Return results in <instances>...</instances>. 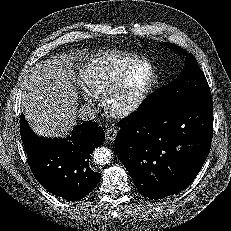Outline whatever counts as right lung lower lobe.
Listing matches in <instances>:
<instances>
[{
  "instance_id": "obj_1",
  "label": "right lung lower lobe",
  "mask_w": 231,
  "mask_h": 231,
  "mask_svg": "<svg viewBox=\"0 0 231 231\" xmlns=\"http://www.w3.org/2000/svg\"><path fill=\"white\" fill-rule=\"evenodd\" d=\"M20 134L32 173L49 192L77 201L96 187L101 174L90 168L89 157L105 139L97 123L85 121L67 138L50 139L37 136L22 114Z\"/></svg>"
}]
</instances>
